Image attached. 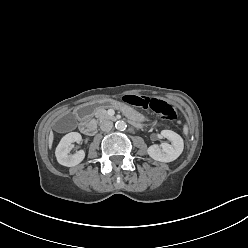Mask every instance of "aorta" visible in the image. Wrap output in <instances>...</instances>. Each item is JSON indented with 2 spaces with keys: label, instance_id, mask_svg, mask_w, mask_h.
<instances>
[{
  "label": "aorta",
  "instance_id": "obj_1",
  "mask_svg": "<svg viewBox=\"0 0 248 248\" xmlns=\"http://www.w3.org/2000/svg\"><path fill=\"white\" fill-rule=\"evenodd\" d=\"M115 127L119 131H124L126 129L127 125L124 121L119 120L115 123Z\"/></svg>",
  "mask_w": 248,
  "mask_h": 248
}]
</instances>
